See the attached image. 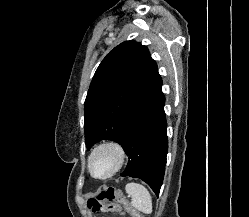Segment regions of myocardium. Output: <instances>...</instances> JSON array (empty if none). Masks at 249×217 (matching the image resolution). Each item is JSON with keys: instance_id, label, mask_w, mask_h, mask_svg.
<instances>
[{"instance_id": "obj_1", "label": "myocardium", "mask_w": 249, "mask_h": 217, "mask_svg": "<svg viewBox=\"0 0 249 217\" xmlns=\"http://www.w3.org/2000/svg\"><path fill=\"white\" fill-rule=\"evenodd\" d=\"M101 152H109L113 156V163L110 168L102 173L96 174L93 171V160ZM127 159L125 147L117 140L108 139L95 145L87 158V169L89 174L99 180L107 179L116 174L124 165Z\"/></svg>"}]
</instances>
